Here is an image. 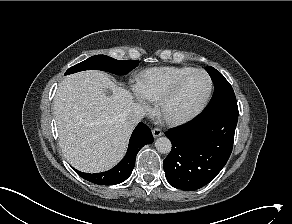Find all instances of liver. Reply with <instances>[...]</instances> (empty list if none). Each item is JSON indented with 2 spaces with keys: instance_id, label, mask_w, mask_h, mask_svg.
<instances>
[{
  "instance_id": "liver-1",
  "label": "liver",
  "mask_w": 292,
  "mask_h": 224,
  "mask_svg": "<svg viewBox=\"0 0 292 224\" xmlns=\"http://www.w3.org/2000/svg\"><path fill=\"white\" fill-rule=\"evenodd\" d=\"M132 104V94L103 72L65 77L54 98V114L67 161L87 173L112 168L124 156L134 127L127 119Z\"/></svg>"
}]
</instances>
